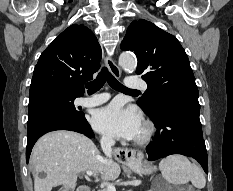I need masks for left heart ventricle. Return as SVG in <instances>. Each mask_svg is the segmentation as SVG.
Here are the masks:
<instances>
[{"label": "left heart ventricle", "instance_id": "1", "mask_svg": "<svg viewBox=\"0 0 233 191\" xmlns=\"http://www.w3.org/2000/svg\"><path fill=\"white\" fill-rule=\"evenodd\" d=\"M142 133H143V127L141 128L140 133H139V135L137 137L141 136Z\"/></svg>", "mask_w": 233, "mask_h": 191}]
</instances>
